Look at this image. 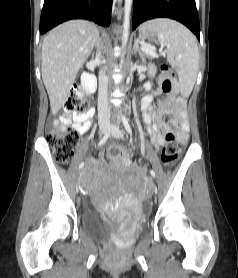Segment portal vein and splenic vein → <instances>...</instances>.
<instances>
[{"label": "portal vein and splenic vein", "instance_id": "1", "mask_svg": "<svg viewBox=\"0 0 238 278\" xmlns=\"http://www.w3.org/2000/svg\"><path fill=\"white\" fill-rule=\"evenodd\" d=\"M142 50L145 51L147 54H149L152 57H158L156 54V50L154 48L149 47H142Z\"/></svg>", "mask_w": 238, "mask_h": 278}]
</instances>
